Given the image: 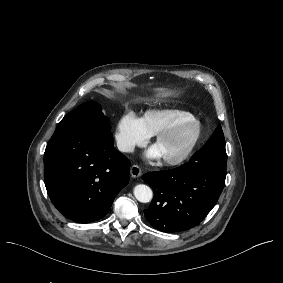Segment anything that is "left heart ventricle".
<instances>
[{
	"label": "left heart ventricle",
	"instance_id": "left-heart-ventricle-1",
	"mask_svg": "<svg viewBox=\"0 0 283 283\" xmlns=\"http://www.w3.org/2000/svg\"><path fill=\"white\" fill-rule=\"evenodd\" d=\"M192 135V125L187 124L181 128L172 139L157 143L164 158H176L186 148Z\"/></svg>",
	"mask_w": 283,
	"mask_h": 283
}]
</instances>
